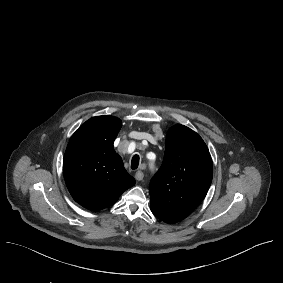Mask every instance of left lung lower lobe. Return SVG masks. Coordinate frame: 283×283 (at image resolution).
<instances>
[{
	"instance_id": "obj_1",
	"label": "left lung lower lobe",
	"mask_w": 283,
	"mask_h": 283,
	"mask_svg": "<svg viewBox=\"0 0 283 283\" xmlns=\"http://www.w3.org/2000/svg\"><path fill=\"white\" fill-rule=\"evenodd\" d=\"M152 213L160 220L167 223H175L186 218L191 212L170 209L162 206L150 204Z\"/></svg>"
}]
</instances>
